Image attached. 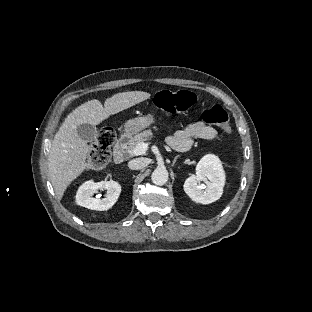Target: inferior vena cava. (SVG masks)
Segmentation results:
<instances>
[{"instance_id":"1","label":"inferior vena cava","mask_w":312,"mask_h":312,"mask_svg":"<svg viewBox=\"0 0 312 312\" xmlns=\"http://www.w3.org/2000/svg\"><path fill=\"white\" fill-rule=\"evenodd\" d=\"M147 159L146 158H136L128 162V167L131 170H140L144 168L147 165Z\"/></svg>"}]
</instances>
